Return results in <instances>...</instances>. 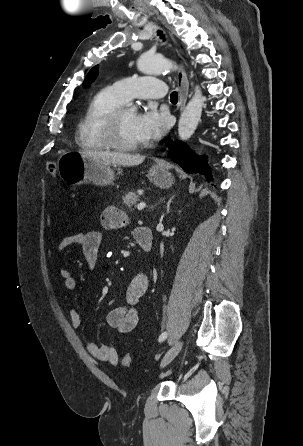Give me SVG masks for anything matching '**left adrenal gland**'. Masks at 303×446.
<instances>
[{
  "mask_svg": "<svg viewBox=\"0 0 303 446\" xmlns=\"http://www.w3.org/2000/svg\"><path fill=\"white\" fill-rule=\"evenodd\" d=\"M174 196H175V195H174ZM174 196H172V197L169 199V201L167 202V206H166V211H167V213L170 212V204H171V202H172Z\"/></svg>",
  "mask_w": 303,
  "mask_h": 446,
  "instance_id": "1",
  "label": "left adrenal gland"
}]
</instances>
